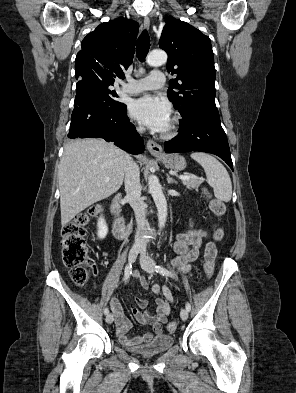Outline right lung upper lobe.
<instances>
[{"label": "right lung upper lobe", "instance_id": "right-lung-upper-lobe-1", "mask_svg": "<svg viewBox=\"0 0 296 393\" xmlns=\"http://www.w3.org/2000/svg\"><path fill=\"white\" fill-rule=\"evenodd\" d=\"M139 24L126 18L100 24L81 43L75 59V77H95L114 83V77H124L135 52Z\"/></svg>", "mask_w": 296, "mask_h": 393}]
</instances>
